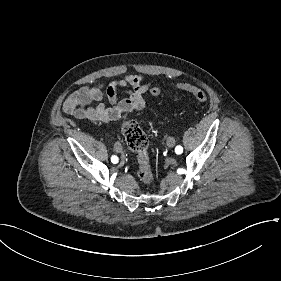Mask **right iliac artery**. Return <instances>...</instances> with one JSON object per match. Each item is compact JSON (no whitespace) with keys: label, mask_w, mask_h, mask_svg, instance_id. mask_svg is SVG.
Listing matches in <instances>:
<instances>
[{"label":"right iliac artery","mask_w":281,"mask_h":281,"mask_svg":"<svg viewBox=\"0 0 281 281\" xmlns=\"http://www.w3.org/2000/svg\"><path fill=\"white\" fill-rule=\"evenodd\" d=\"M111 162L112 163H117L118 162V157L117 156H112L111 157Z\"/></svg>","instance_id":"82829eb1"}]
</instances>
